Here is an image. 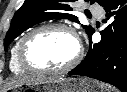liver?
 <instances>
[{
	"label": "liver",
	"mask_w": 127,
	"mask_h": 92,
	"mask_svg": "<svg viewBox=\"0 0 127 92\" xmlns=\"http://www.w3.org/2000/svg\"><path fill=\"white\" fill-rule=\"evenodd\" d=\"M60 77L58 76H52V77H46L45 75L37 76V77H23V78H15L9 80L5 85H4V92L15 88L19 87L21 85H33V84H38V83H48V82H53Z\"/></svg>",
	"instance_id": "obj_1"
}]
</instances>
